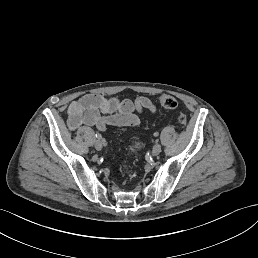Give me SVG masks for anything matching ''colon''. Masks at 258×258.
<instances>
[{
	"label": "colon",
	"instance_id": "obj_1",
	"mask_svg": "<svg viewBox=\"0 0 258 258\" xmlns=\"http://www.w3.org/2000/svg\"><path fill=\"white\" fill-rule=\"evenodd\" d=\"M159 103H160V106L163 108V109H166V110H171V109H174L177 107V101L174 97H172L171 95H168V94H164L162 95L160 98H159ZM179 122L180 124L182 125H185L186 124V116L184 114H181L179 116ZM139 146L138 143H135L133 145V148H137ZM124 172L125 173H131V170L129 168H124Z\"/></svg>",
	"mask_w": 258,
	"mask_h": 258
}]
</instances>
